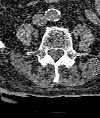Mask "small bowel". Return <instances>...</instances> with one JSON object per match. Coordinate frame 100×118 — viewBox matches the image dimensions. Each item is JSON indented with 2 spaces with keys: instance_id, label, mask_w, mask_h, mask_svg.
<instances>
[{
  "instance_id": "c3829d8e",
  "label": "small bowel",
  "mask_w": 100,
  "mask_h": 118,
  "mask_svg": "<svg viewBox=\"0 0 100 118\" xmlns=\"http://www.w3.org/2000/svg\"><path fill=\"white\" fill-rule=\"evenodd\" d=\"M47 1L57 2L58 0H47ZM95 6H96L98 13L91 9H88V10H86V17L88 18V20L91 23L98 25V24H100V0H96Z\"/></svg>"
}]
</instances>
